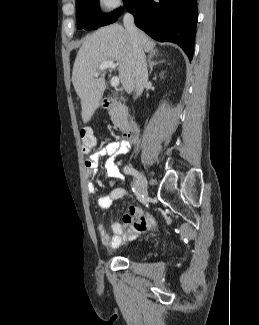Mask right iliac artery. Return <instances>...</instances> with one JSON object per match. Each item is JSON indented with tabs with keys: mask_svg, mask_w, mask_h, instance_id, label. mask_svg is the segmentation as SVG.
<instances>
[{
	"mask_svg": "<svg viewBox=\"0 0 259 325\" xmlns=\"http://www.w3.org/2000/svg\"><path fill=\"white\" fill-rule=\"evenodd\" d=\"M123 171L125 174H129V175H135L136 174V170L134 168H132L131 166H125L123 168ZM135 194H137L138 192H134Z\"/></svg>",
	"mask_w": 259,
	"mask_h": 325,
	"instance_id": "obj_1",
	"label": "right iliac artery"
}]
</instances>
